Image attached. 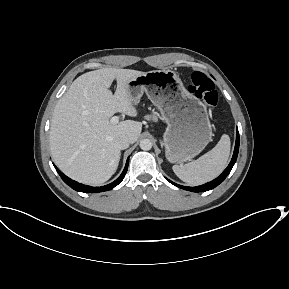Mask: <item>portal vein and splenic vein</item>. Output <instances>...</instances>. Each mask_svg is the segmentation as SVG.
Instances as JSON below:
<instances>
[{"instance_id": "portal-vein-and-splenic-vein-1", "label": "portal vein and splenic vein", "mask_w": 289, "mask_h": 289, "mask_svg": "<svg viewBox=\"0 0 289 289\" xmlns=\"http://www.w3.org/2000/svg\"><path fill=\"white\" fill-rule=\"evenodd\" d=\"M110 122L112 124H117L119 122V117L118 116H113L111 119H110Z\"/></svg>"}]
</instances>
